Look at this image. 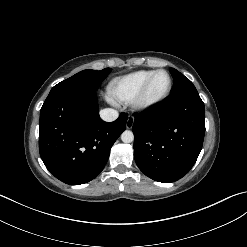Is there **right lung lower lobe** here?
Listing matches in <instances>:
<instances>
[{
    "mask_svg": "<svg viewBox=\"0 0 247 247\" xmlns=\"http://www.w3.org/2000/svg\"><path fill=\"white\" fill-rule=\"evenodd\" d=\"M98 113L96 92L63 90L46 98L40 111L39 151L46 168L62 182L79 185L94 179L125 130L127 114L107 123Z\"/></svg>",
    "mask_w": 247,
    "mask_h": 247,
    "instance_id": "1",
    "label": "right lung lower lobe"
}]
</instances>
